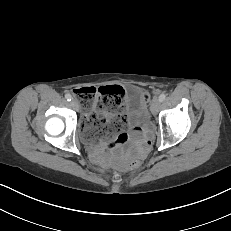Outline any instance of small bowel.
I'll use <instances>...</instances> for the list:
<instances>
[{"instance_id": "1", "label": "small bowel", "mask_w": 231, "mask_h": 231, "mask_svg": "<svg viewBox=\"0 0 231 231\" xmlns=\"http://www.w3.org/2000/svg\"><path fill=\"white\" fill-rule=\"evenodd\" d=\"M95 113H97L99 115H106L107 114L106 111L100 110V109H96ZM132 130H133L136 141L142 143L143 146H146L147 141L143 140L144 139V134H143L142 129L138 128L137 126H133ZM106 139L108 140L107 142H104V143H102V144H100V145H98L96 147L95 154L97 156H100L103 153L105 147H109L110 149H113V148H115L117 146V143L112 141V136L111 135L108 134L106 136Z\"/></svg>"}]
</instances>
